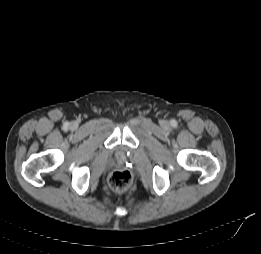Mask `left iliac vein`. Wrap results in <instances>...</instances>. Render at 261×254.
<instances>
[{
	"instance_id": "4c4485c4",
	"label": "left iliac vein",
	"mask_w": 261,
	"mask_h": 254,
	"mask_svg": "<svg viewBox=\"0 0 261 254\" xmlns=\"http://www.w3.org/2000/svg\"><path fill=\"white\" fill-rule=\"evenodd\" d=\"M162 126H163L164 128H168V127H169L168 121H163V122H162Z\"/></svg>"
}]
</instances>
